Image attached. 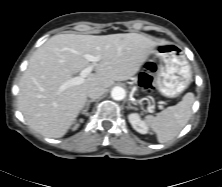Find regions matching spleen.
Wrapping results in <instances>:
<instances>
[{
	"label": "spleen",
	"instance_id": "spleen-1",
	"mask_svg": "<svg viewBox=\"0 0 222 187\" xmlns=\"http://www.w3.org/2000/svg\"><path fill=\"white\" fill-rule=\"evenodd\" d=\"M193 103L194 94L189 92L178 104L167 107L156 116L145 117L146 123L156 133L159 143H166L181 132L191 117Z\"/></svg>",
	"mask_w": 222,
	"mask_h": 187
}]
</instances>
